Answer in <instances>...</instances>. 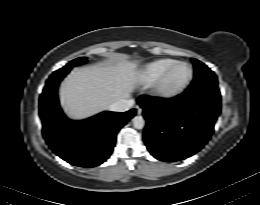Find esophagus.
Returning <instances> with one entry per match:
<instances>
[{
  "mask_svg": "<svg viewBox=\"0 0 260 205\" xmlns=\"http://www.w3.org/2000/svg\"><path fill=\"white\" fill-rule=\"evenodd\" d=\"M137 108V113L140 115L142 113V109L139 106H136Z\"/></svg>",
  "mask_w": 260,
  "mask_h": 205,
  "instance_id": "1",
  "label": "esophagus"
}]
</instances>
